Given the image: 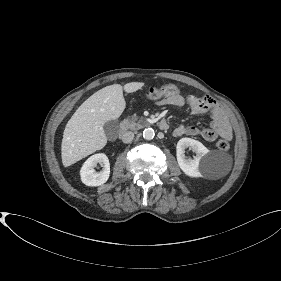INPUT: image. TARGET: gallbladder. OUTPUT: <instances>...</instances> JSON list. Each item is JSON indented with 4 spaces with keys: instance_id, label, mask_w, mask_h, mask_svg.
<instances>
[{
    "instance_id": "1",
    "label": "gallbladder",
    "mask_w": 281,
    "mask_h": 281,
    "mask_svg": "<svg viewBox=\"0 0 281 281\" xmlns=\"http://www.w3.org/2000/svg\"><path fill=\"white\" fill-rule=\"evenodd\" d=\"M104 132L108 138L115 137L118 133L119 123L117 120H111L104 124Z\"/></svg>"
}]
</instances>
